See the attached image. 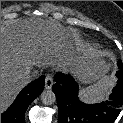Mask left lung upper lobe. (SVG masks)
Instances as JSON below:
<instances>
[{
    "label": "left lung upper lobe",
    "mask_w": 123,
    "mask_h": 123,
    "mask_svg": "<svg viewBox=\"0 0 123 123\" xmlns=\"http://www.w3.org/2000/svg\"><path fill=\"white\" fill-rule=\"evenodd\" d=\"M117 65H118L119 71L116 74L123 76V65H122V62L118 61Z\"/></svg>",
    "instance_id": "obj_1"
}]
</instances>
